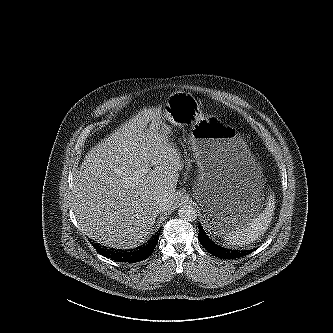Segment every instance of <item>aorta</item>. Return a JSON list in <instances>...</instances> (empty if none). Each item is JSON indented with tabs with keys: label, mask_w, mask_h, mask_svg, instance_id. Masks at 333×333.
<instances>
[{
	"label": "aorta",
	"mask_w": 333,
	"mask_h": 333,
	"mask_svg": "<svg viewBox=\"0 0 333 333\" xmlns=\"http://www.w3.org/2000/svg\"><path fill=\"white\" fill-rule=\"evenodd\" d=\"M178 215L185 221L193 222L197 218V211L191 205H182L178 210Z\"/></svg>",
	"instance_id": "762f6f07"
}]
</instances>
